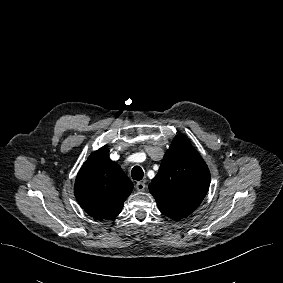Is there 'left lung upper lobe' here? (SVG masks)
<instances>
[{"label": "left lung upper lobe", "mask_w": 283, "mask_h": 283, "mask_svg": "<svg viewBox=\"0 0 283 283\" xmlns=\"http://www.w3.org/2000/svg\"><path fill=\"white\" fill-rule=\"evenodd\" d=\"M209 169L194 147L177 135L149 184L159 210L173 220L190 215L207 194Z\"/></svg>", "instance_id": "obj_1"}]
</instances>
